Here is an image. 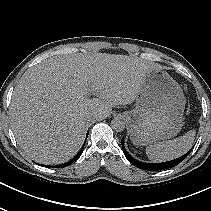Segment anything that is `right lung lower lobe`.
<instances>
[{
  "label": "right lung lower lobe",
  "instance_id": "1",
  "mask_svg": "<svg viewBox=\"0 0 211 211\" xmlns=\"http://www.w3.org/2000/svg\"><path fill=\"white\" fill-rule=\"evenodd\" d=\"M88 137V133H87V136H86V138ZM83 148H84V146L82 147V149L80 150V152L72 159V160H70L69 162H67V163H65L64 165H60L61 167L63 166H68V165H70V164H72L74 161H76L80 156H81V154H82V152H83ZM42 166H45V167H52V166H48V165H42ZM55 167H57V166H55Z\"/></svg>",
  "mask_w": 211,
  "mask_h": 211
}]
</instances>
